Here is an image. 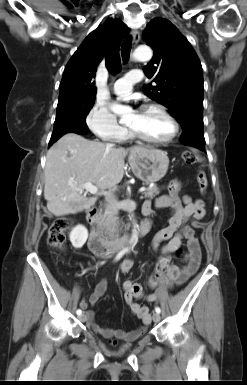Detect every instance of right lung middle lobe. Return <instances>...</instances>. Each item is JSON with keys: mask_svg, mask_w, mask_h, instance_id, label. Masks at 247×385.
Here are the masks:
<instances>
[{"mask_svg": "<svg viewBox=\"0 0 247 385\" xmlns=\"http://www.w3.org/2000/svg\"><path fill=\"white\" fill-rule=\"evenodd\" d=\"M95 96L60 95L53 133L73 127L88 128L86 117L93 107Z\"/></svg>", "mask_w": 247, "mask_h": 385, "instance_id": "obj_1", "label": "right lung middle lobe"}]
</instances>
